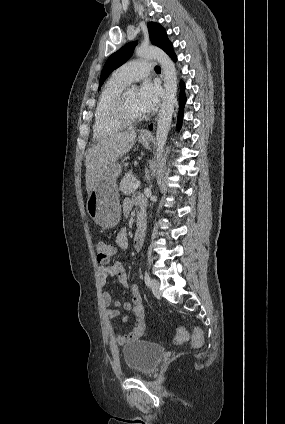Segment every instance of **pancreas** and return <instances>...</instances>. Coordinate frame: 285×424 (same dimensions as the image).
<instances>
[{"label": "pancreas", "instance_id": "cf45deb5", "mask_svg": "<svg viewBox=\"0 0 285 424\" xmlns=\"http://www.w3.org/2000/svg\"><path fill=\"white\" fill-rule=\"evenodd\" d=\"M135 182H136V178L131 172L125 174V176L120 182V187H119L120 191L124 195L131 194L134 191V189L132 188V185Z\"/></svg>", "mask_w": 285, "mask_h": 424}]
</instances>
